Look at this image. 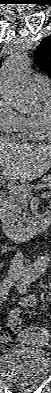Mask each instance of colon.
Here are the masks:
<instances>
[{
    "mask_svg": "<svg viewBox=\"0 0 51 393\" xmlns=\"http://www.w3.org/2000/svg\"><path fill=\"white\" fill-rule=\"evenodd\" d=\"M22 319L18 316V315H12L9 318L8 321V326L12 329V330H20L22 328ZM30 333H41L39 328H34V330H29Z\"/></svg>",
    "mask_w": 51,
    "mask_h": 393,
    "instance_id": "colon-1",
    "label": "colon"
}]
</instances>
